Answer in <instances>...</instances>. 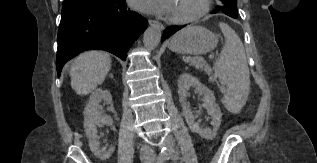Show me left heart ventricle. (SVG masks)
<instances>
[{"label": "left heart ventricle", "mask_w": 317, "mask_h": 163, "mask_svg": "<svg viewBox=\"0 0 317 163\" xmlns=\"http://www.w3.org/2000/svg\"><path fill=\"white\" fill-rule=\"evenodd\" d=\"M199 0H173L170 16L184 17L192 14L198 8Z\"/></svg>", "instance_id": "1"}]
</instances>
